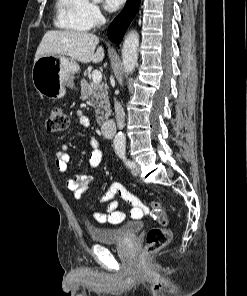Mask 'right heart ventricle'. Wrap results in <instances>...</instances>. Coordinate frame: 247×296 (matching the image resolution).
<instances>
[{
	"label": "right heart ventricle",
	"instance_id": "1",
	"mask_svg": "<svg viewBox=\"0 0 247 296\" xmlns=\"http://www.w3.org/2000/svg\"><path fill=\"white\" fill-rule=\"evenodd\" d=\"M86 0H56L55 25L58 28L86 32L91 26L85 18Z\"/></svg>",
	"mask_w": 247,
	"mask_h": 296
}]
</instances>
